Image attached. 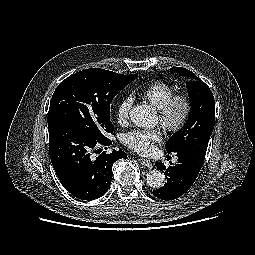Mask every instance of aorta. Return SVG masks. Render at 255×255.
<instances>
[{
	"mask_svg": "<svg viewBox=\"0 0 255 255\" xmlns=\"http://www.w3.org/2000/svg\"><path fill=\"white\" fill-rule=\"evenodd\" d=\"M130 119L134 125L141 128H151L156 123V115L149 105H137L130 111ZM147 183L154 189L164 186L165 176L158 170H150L146 175Z\"/></svg>",
	"mask_w": 255,
	"mask_h": 255,
	"instance_id": "1",
	"label": "aorta"
}]
</instances>
